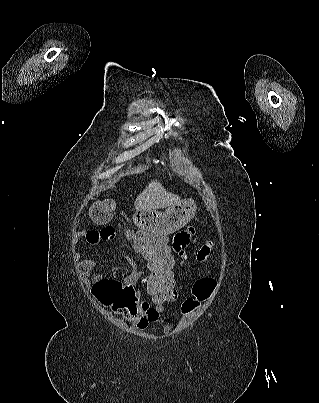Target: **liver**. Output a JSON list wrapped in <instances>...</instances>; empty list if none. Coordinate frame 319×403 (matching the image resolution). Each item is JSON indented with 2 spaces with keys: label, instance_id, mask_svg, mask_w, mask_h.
I'll list each match as a JSON object with an SVG mask.
<instances>
[{
  "label": "liver",
  "instance_id": "6515ba94",
  "mask_svg": "<svg viewBox=\"0 0 319 403\" xmlns=\"http://www.w3.org/2000/svg\"><path fill=\"white\" fill-rule=\"evenodd\" d=\"M180 202V197L167 192L158 181H151L135 200L137 210H156L171 207Z\"/></svg>",
  "mask_w": 319,
  "mask_h": 403
}]
</instances>
